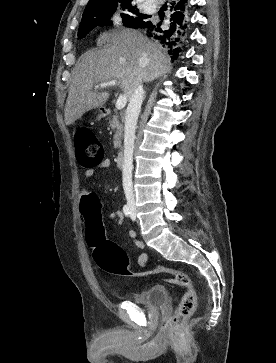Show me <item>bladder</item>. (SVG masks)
Returning <instances> with one entry per match:
<instances>
[{
  "instance_id": "obj_1",
  "label": "bladder",
  "mask_w": 276,
  "mask_h": 363,
  "mask_svg": "<svg viewBox=\"0 0 276 363\" xmlns=\"http://www.w3.org/2000/svg\"><path fill=\"white\" fill-rule=\"evenodd\" d=\"M167 289L163 285H153L146 290L139 291L131 297L135 304L155 308L167 300Z\"/></svg>"
}]
</instances>
